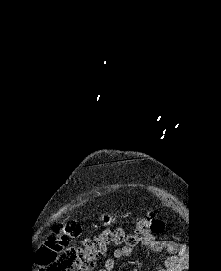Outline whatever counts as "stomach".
<instances>
[{
	"label": "stomach",
	"instance_id": "stomach-1",
	"mask_svg": "<svg viewBox=\"0 0 221 271\" xmlns=\"http://www.w3.org/2000/svg\"><path fill=\"white\" fill-rule=\"evenodd\" d=\"M99 219H100V223H102V225H110V223H112V221H114L115 217H114V215H112V213H102V215H100Z\"/></svg>",
	"mask_w": 221,
	"mask_h": 271
}]
</instances>
